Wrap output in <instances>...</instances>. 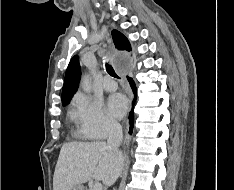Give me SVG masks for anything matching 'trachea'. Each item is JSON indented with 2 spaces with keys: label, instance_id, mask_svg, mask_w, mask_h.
<instances>
[{
  "label": "trachea",
  "instance_id": "obj_1",
  "mask_svg": "<svg viewBox=\"0 0 234 190\" xmlns=\"http://www.w3.org/2000/svg\"><path fill=\"white\" fill-rule=\"evenodd\" d=\"M106 70L112 77L119 78L118 75L116 74L115 70L113 69V67L108 63H106Z\"/></svg>",
  "mask_w": 234,
  "mask_h": 190
}]
</instances>
